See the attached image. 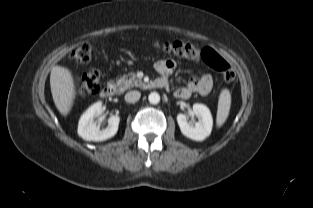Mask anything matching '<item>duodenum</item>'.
<instances>
[{"label":"duodenum","instance_id":"duodenum-1","mask_svg":"<svg viewBox=\"0 0 313 208\" xmlns=\"http://www.w3.org/2000/svg\"><path fill=\"white\" fill-rule=\"evenodd\" d=\"M167 84L166 80L156 79L147 84L149 88H164ZM116 93V86L113 83L106 84L101 90L103 98H110Z\"/></svg>","mask_w":313,"mask_h":208}]
</instances>
